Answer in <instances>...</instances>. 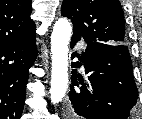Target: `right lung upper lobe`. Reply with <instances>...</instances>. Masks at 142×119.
Returning a JSON list of instances; mask_svg holds the SVG:
<instances>
[{
  "instance_id": "cb5924a9",
  "label": "right lung upper lobe",
  "mask_w": 142,
  "mask_h": 119,
  "mask_svg": "<svg viewBox=\"0 0 142 119\" xmlns=\"http://www.w3.org/2000/svg\"><path fill=\"white\" fill-rule=\"evenodd\" d=\"M32 0H0V47L29 38L35 33L30 18Z\"/></svg>"
}]
</instances>
